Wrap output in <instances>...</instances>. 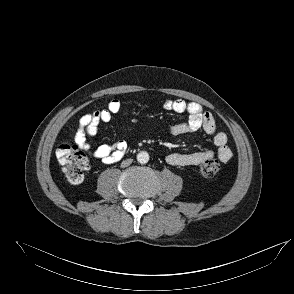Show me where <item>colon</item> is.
Returning a JSON list of instances; mask_svg holds the SVG:
<instances>
[{
	"instance_id": "5ec220e1",
	"label": "colon",
	"mask_w": 294,
	"mask_h": 294,
	"mask_svg": "<svg viewBox=\"0 0 294 294\" xmlns=\"http://www.w3.org/2000/svg\"><path fill=\"white\" fill-rule=\"evenodd\" d=\"M56 157L62 166L64 176L70 183L79 184L83 181L88 162L85 154L76 145L61 143L56 150ZM219 169V162L215 158L205 159L199 167L201 175L205 178L215 176Z\"/></svg>"
}]
</instances>
